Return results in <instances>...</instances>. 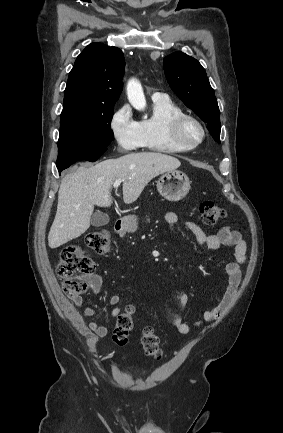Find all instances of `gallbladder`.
<instances>
[{"instance_id":"bac80fb5","label":"gallbladder","mask_w":283,"mask_h":433,"mask_svg":"<svg viewBox=\"0 0 283 433\" xmlns=\"http://www.w3.org/2000/svg\"><path fill=\"white\" fill-rule=\"evenodd\" d=\"M109 217L106 212H94L91 217L92 227H103V225H108Z\"/></svg>"}]
</instances>
